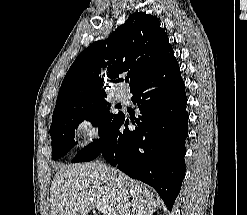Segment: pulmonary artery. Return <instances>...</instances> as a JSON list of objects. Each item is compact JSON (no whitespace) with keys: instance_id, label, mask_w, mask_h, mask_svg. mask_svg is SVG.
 Segmentation results:
<instances>
[{"instance_id":"e3ab8cb5","label":"pulmonary artery","mask_w":247,"mask_h":215,"mask_svg":"<svg viewBox=\"0 0 247 215\" xmlns=\"http://www.w3.org/2000/svg\"><path fill=\"white\" fill-rule=\"evenodd\" d=\"M116 99L120 102H126L128 99V94L123 91V90H119L116 95H115Z\"/></svg>"}]
</instances>
